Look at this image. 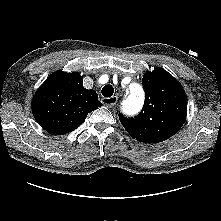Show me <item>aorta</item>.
<instances>
[{"instance_id": "obj_1", "label": "aorta", "mask_w": 221, "mask_h": 221, "mask_svg": "<svg viewBox=\"0 0 221 221\" xmlns=\"http://www.w3.org/2000/svg\"><path fill=\"white\" fill-rule=\"evenodd\" d=\"M144 101V94L139 86L131 85L128 90V96L125 101V107L131 113L138 112Z\"/></svg>"}]
</instances>
